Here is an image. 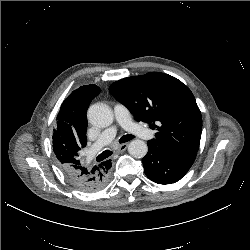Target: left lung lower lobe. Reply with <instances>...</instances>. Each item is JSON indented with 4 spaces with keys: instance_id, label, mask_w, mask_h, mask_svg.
Instances as JSON below:
<instances>
[{
    "instance_id": "obj_1",
    "label": "left lung lower lobe",
    "mask_w": 250,
    "mask_h": 250,
    "mask_svg": "<svg viewBox=\"0 0 250 250\" xmlns=\"http://www.w3.org/2000/svg\"><path fill=\"white\" fill-rule=\"evenodd\" d=\"M148 153L142 162L146 176L158 184H171L179 181L190 169L196 153L177 151L150 140Z\"/></svg>"
}]
</instances>
